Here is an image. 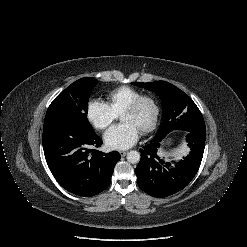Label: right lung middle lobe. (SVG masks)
<instances>
[{
    "label": "right lung middle lobe",
    "instance_id": "right-lung-middle-lobe-1",
    "mask_svg": "<svg viewBox=\"0 0 247 247\" xmlns=\"http://www.w3.org/2000/svg\"><path fill=\"white\" fill-rule=\"evenodd\" d=\"M98 83L92 77L81 78L63 90L50 104L45 121L69 119L92 128L87 119L88 100L91 90Z\"/></svg>",
    "mask_w": 247,
    "mask_h": 247
}]
</instances>
